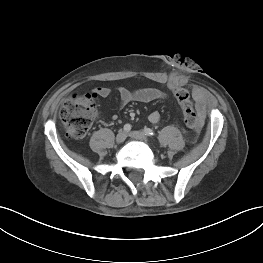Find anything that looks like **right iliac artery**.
<instances>
[{"label": "right iliac artery", "mask_w": 263, "mask_h": 263, "mask_svg": "<svg viewBox=\"0 0 263 263\" xmlns=\"http://www.w3.org/2000/svg\"><path fill=\"white\" fill-rule=\"evenodd\" d=\"M125 132H129L131 130V125L130 124H125L123 127Z\"/></svg>", "instance_id": "obj_1"}]
</instances>
